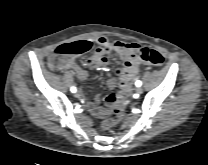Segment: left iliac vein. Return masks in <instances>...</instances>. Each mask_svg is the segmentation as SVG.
<instances>
[{
	"label": "left iliac vein",
	"mask_w": 208,
	"mask_h": 165,
	"mask_svg": "<svg viewBox=\"0 0 208 165\" xmlns=\"http://www.w3.org/2000/svg\"><path fill=\"white\" fill-rule=\"evenodd\" d=\"M142 92H143V89L141 87L136 88V93L137 94H142Z\"/></svg>",
	"instance_id": "left-iliac-vein-1"
}]
</instances>
